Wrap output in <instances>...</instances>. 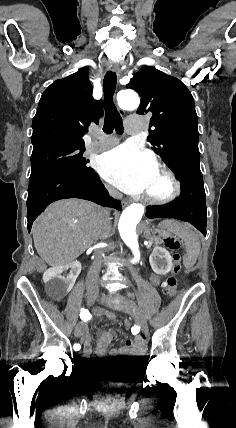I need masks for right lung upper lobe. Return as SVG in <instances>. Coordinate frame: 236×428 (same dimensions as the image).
Wrapping results in <instances>:
<instances>
[{
  "label": "right lung upper lobe",
  "mask_w": 236,
  "mask_h": 428,
  "mask_svg": "<svg viewBox=\"0 0 236 428\" xmlns=\"http://www.w3.org/2000/svg\"><path fill=\"white\" fill-rule=\"evenodd\" d=\"M87 67L53 82L42 94L33 118L32 144L84 141L90 122L103 115L101 100L92 97Z\"/></svg>",
  "instance_id": "right-lung-upper-lobe-1"
}]
</instances>
